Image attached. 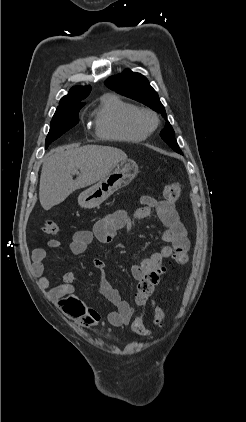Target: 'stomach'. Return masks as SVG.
Here are the masks:
<instances>
[{
  "label": "stomach",
  "mask_w": 246,
  "mask_h": 422,
  "mask_svg": "<svg viewBox=\"0 0 246 422\" xmlns=\"http://www.w3.org/2000/svg\"><path fill=\"white\" fill-rule=\"evenodd\" d=\"M138 173V165L129 159L116 163L97 184L83 191L78 202L83 208L99 206L119 189L129 185Z\"/></svg>",
  "instance_id": "0dacf381"
}]
</instances>
